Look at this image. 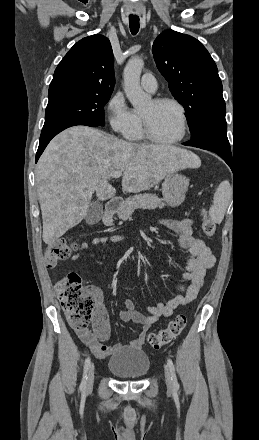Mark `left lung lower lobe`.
<instances>
[{
    "mask_svg": "<svg viewBox=\"0 0 259 440\" xmlns=\"http://www.w3.org/2000/svg\"><path fill=\"white\" fill-rule=\"evenodd\" d=\"M186 146H193L218 154L230 167L232 165V154L227 138V129L212 128L198 137L184 143Z\"/></svg>",
    "mask_w": 259,
    "mask_h": 440,
    "instance_id": "obj_1",
    "label": "left lung lower lobe"
}]
</instances>
